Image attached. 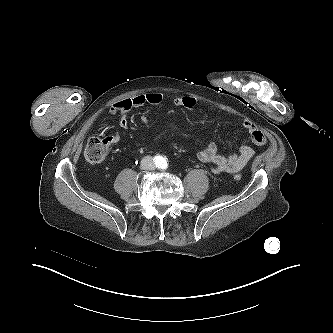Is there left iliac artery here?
I'll return each mask as SVG.
<instances>
[{
    "instance_id": "obj_1",
    "label": "left iliac artery",
    "mask_w": 333,
    "mask_h": 333,
    "mask_svg": "<svg viewBox=\"0 0 333 333\" xmlns=\"http://www.w3.org/2000/svg\"><path fill=\"white\" fill-rule=\"evenodd\" d=\"M167 161L165 159H162L161 160V163H160V168L161 169H166L167 168Z\"/></svg>"
}]
</instances>
